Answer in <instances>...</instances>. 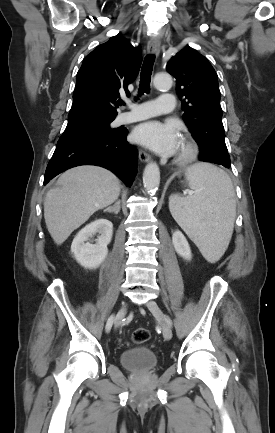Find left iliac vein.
I'll list each match as a JSON object with an SVG mask.
<instances>
[{
	"label": "left iliac vein",
	"mask_w": 275,
	"mask_h": 433,
	"mask_svg": "<svg viewBox=\"0 0 275 433\" xmlns=\"http://www.w3.org/2000/svg\"><path fill=\"white\" fill-rule=\"evenodd\" d=\"M146 306L161 323L164 338L170 340L172 338V330L158 304L155 301H149Z\"/></svg>",
	"instance_id": "1"
}]
</instances>
